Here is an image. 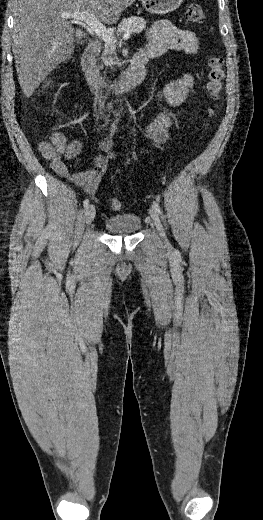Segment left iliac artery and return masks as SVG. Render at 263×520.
Masks as SVG:
<instances>
[{"label": "left iliac artery", "instance_id": "left-iliac-artery-1", "mask_svg": "<svg viewBox=\"0 0 263 520\" xmlns=\"http://www.w3.org/2000/svg\"><path fill=\"white\" fill-rule=\"evenodd\" d=\"M152 206L159 214H161L160 206H159V204L156 201H153V205Z\"/></svg>", "mask_w": 263, "mask_h": 520}]
</instances>
